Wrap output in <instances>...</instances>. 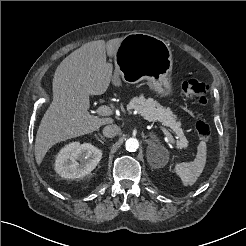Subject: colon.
Returning <instances> with one entry per match:
<instances>
[{"label": "colon", "instance_id": "1", "mask_svg": "<svg viewBox=\"0 0 246 246\" xmlns=\"http://www.w3.org/2000/svg\"><path fill=\"white\" fill-rule=\"evenodd\" d=\"M209 88L210 85L208 83L195 78L185 80L182 83L184 94L198 105H205L207 103L206 94ZM196 131L201 140L207 141L211 138V126L204 120L197 121Z\"/></svg>", "mask_w": 246, "mask_h": 246}]
</instances>
